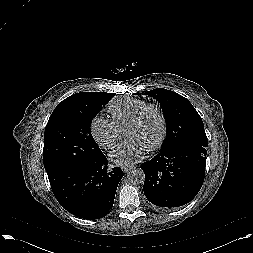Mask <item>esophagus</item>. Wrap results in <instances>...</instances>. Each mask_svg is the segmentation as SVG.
I'll return each instance as SVG.
<instances>
[{
	"label": "esophagus",
	"instance_id": "34e87169",
	"mask_svg": "<svg viewBox=\"0 0 253 253\" xmlns=\"http://www.w3.org/2000/svg\"><path fill=\"white\" fill-rule=\"evenodd\" d=\"M133 168H134V166H122V170L125 173L129 172Z\"/></svg>",
	"mask_w": 253,
	"mask_h": 253
}]
</instances>
